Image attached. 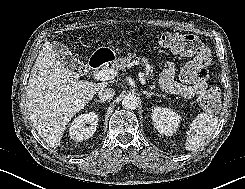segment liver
I'll use <instances>...</instances> for the list:
<instances>
[{
    "label": "liver",
    "instance_id": "liver-1",
    "mask_svg": "<svg viewBox=\"0 0 245 189\" xmlns=\"http://www.w3.org/2000/svg\"><path fill=\"white\" fill-rule=\"evenodd\" d=\"M45 42L32 68L26 89V105L38 134L57 147L66 125L108 82L79 80Z\"/></svg>",
    "mask_w": 245,
    "mask_h": 189
}]
</instances>
